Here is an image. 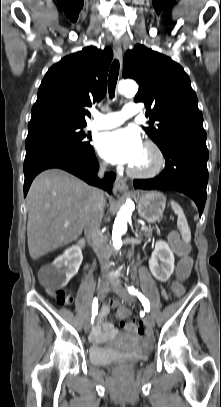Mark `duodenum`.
I'll return each mask as SVG.
<instances>
[{
    "instance_id": "obj_1",
    "label": "duodenum",
    "mask_w": 221,
    "mask_h": 407,
    "mask_svg": "<svg viewBox=\"0 0 221 407\" xmlns=\"http://www.w3.org/2000/svg\"><path fill=\"white\" fill-rule=\"evenodd\" d=\"M80 245L83 246V245H84V242H83V241H80Z\"/></svg>"
}]
</instances>
